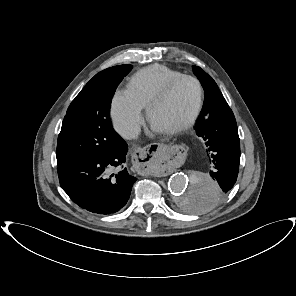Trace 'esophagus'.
<instances>
[{
    "mask_svg": "<svg viewBox=\"0 0 296 296\" xmlns=\"http://www.w3.org/2000/svg\"><path fill=\"white\" fill-rule=\"evenodd\" d=\"M132 153V169L140 177L148 176L154 166L168 163L174 157V150L167 142H160L155 147L140 142L133 147Z\"/></svg>",
    "mask_w": 296,
    "mask_h": 296,
    "instance_id": "34e87169",
    "label": "esophagus"
}]
</instances>
